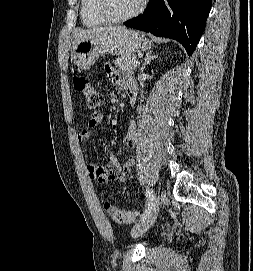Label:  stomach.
Instances as JSON below:
<instances>
[{
    "label": "stomach",
    "mask_w": 253,
    "mask_h": 271,
    "mask_svg": "<svg viewBox=\"0 0 253 271\" xmlns=\"http://www.w3.org/2000/svg\"><path fill=\"white\" fill-rule=\"evenodd\" d=\"M151 47L150 41L143 33L122 29L90 34L77 40L72 49V60L82 70L89 69L95 61L107 54L128 55L146 51Z\"/></svg>",
    "instance_id": "stomach-1"
}]
</instances>
